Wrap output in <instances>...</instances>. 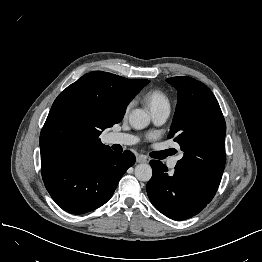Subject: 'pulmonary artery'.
<instances>
[{
  "instance_id": "obj_1",
  "label": "pulmonary artery",
  "mask_w": 262,
  "mask_h": 262,
  "mask_svg": "<svg viewBox=\"0 0 262 262\" xmlns=\"http://www.w3.org/2000/svg\"><path fill=\"white\" fill-rule=\"evenodd\" d=\"M152 114V119L156 125H161L165 123V121L168 119L169 114H170V107H160L157 109H153L151 111ZM138 138L129 133H111L109 135V142L111 144H120V145H133L137 143ZM177 163V158L172 159L171 161L168 162V167L169 168H174Z\"/></svg>"
}]
</instances>
